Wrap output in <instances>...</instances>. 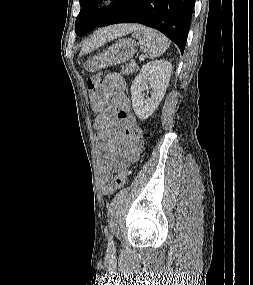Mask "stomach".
Returning a JSON list of instances; mask_svg holds the SVG:
<instances>
[{
	"label": "stomach",
	"mask_w": 253,
	"mask_h": 285,
	"mask_svg": "<svg viewBox=\"0 0 253 285\" xmlns=\"http://www.w3.org/2000/svg\"><path fill=\"white\" fill-rule=\"evenodd\" d=\"M137 45L134 40L120 39L107 50L89 58L84 64V68L88 72L104 69L129 61L137 52Z\"/></svg>",
	"instance_id": "obj_1"
}]
</instances>
